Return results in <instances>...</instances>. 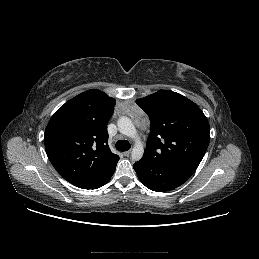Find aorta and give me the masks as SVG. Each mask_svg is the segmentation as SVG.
I'll return each instance as SVG.
<instances>
[{"mask_svg":"<svg viewBox=\"0 0 259 259\" xmlns=\"http://www.w3.org/2000/svg\"><path fill=\"white\" fill-rule=\"evenodd\" d=\"M117 125L121 134L135 140V145L132 149L131 156L134 161H139L143 156L144 147L137 136V131L132 120L128 117L122 116L118 119Z\"/></svg>","mask_w":259,"mask_h":259,"instance_id":"762f6f07","label":"aorta"}]
</instances>
